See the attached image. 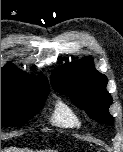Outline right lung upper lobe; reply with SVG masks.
<instances>
[{"instance_id": "cb5924a9", "label": "right lung upper lobe", "mask_w": 123, "mask_h": 152, "mask_svg": "<svg viewBox=\"0 0 123 152\" xmlns=\"http://www.w3.org/2000/svg\"><path fill=\"white\" fill-rule=\"evenodd\" d=\"M1 85H10L21 93L49 94V84L45 77H29L13 64L1 68Z\"/></svg>"}]
</instances>
